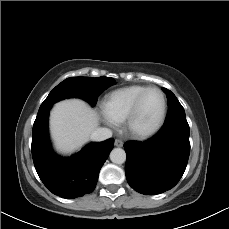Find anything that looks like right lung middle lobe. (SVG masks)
I'll use <instances>...</instances> for the list:
<instances>
[{
    "label": "right lung middle lobe",
    "mask_w": 229,
    "mask_h": 229,
    "mask_svg": "<svg viewBox=\"0 0 229 229\" xmlns=\"http://www.w3.org/2000/svg\"><path fill=\"white\" fill-rule=\"evenodd\" d=\"M114 84L116 81L111 77H71L57 85L42 105L52 106L62 99L77 97L95 106L97 97Z\"/></svg>",
    "instance_id": "right-lung-middle-lobe-1"
}]
</instances>
